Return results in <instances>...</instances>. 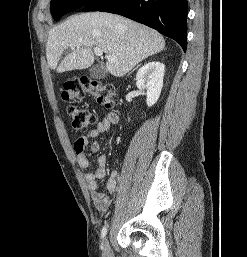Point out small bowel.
Listing matches in <instances>:
<instances>
[{
	"instance_id": "small-bowel-1",
	"label": "small bowel",
	"mask_w": 247,
	"mask_h": 257,
	"mask_svg": "<svg viewBox=\"0 0 247 257\" xmlns=\"http://www.w3.org/2000/svg\"><path fill=\"white\" fill-rule=\"evenodd\" d=\"M119 123V115L115 112L108 113L95 128L89 130L85 135L78 138L74 144L76 159L79 166L83 169H89L90 161L86 155V147L90 145V152L95 154L101 148V143L93 141L101 133L109 130L112 125ZM98 168L95 171L87 172L85 179L88 183L90 194L95 207L100 211H105L109 205L110 198L107 194L99 189L98 181L104 179L107 173V158L105 155H100L97 158ZM118 184V170L111 173L107 181V190L109 193H114Z\"/></svg>"
}]
</instances>
